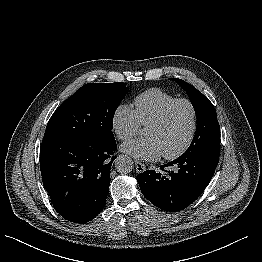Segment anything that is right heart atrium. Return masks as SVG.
<instances>
[{"label":"right heart atrium","instance_id":"obj_1","mask_svg":"<svg viewBox=\"0 0 262 262\" xmlns=\"http://www.w3.org/2000/svg\"><path fill=\"white\" fill-rule=\"evenodd\" d=\"M111 126L114 134L121 141L132 139L141 127L134 109L126 104L116 107L111 117Z\"/></svg>","mask_w":262,"mask_h":262}]
</instances>
